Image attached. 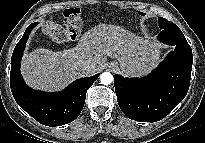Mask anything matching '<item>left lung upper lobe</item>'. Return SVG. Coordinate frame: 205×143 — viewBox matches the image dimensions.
I'll use <instances>...</instances> for the list:
<instances>
[{
    "mask_svg": "<svg viewBox=\"0 0 205 143\" xmlns=\"http://www.w3.org/2000/svg\"><path fill=\"white\" fill-rule=\"evenodd\" d=\"M158 22H159V27L161 29H174L177 28L178 26H176L174 23L166 20L165 18L159 17L158 18Z\"/></svg>",
    "mask_w": 205,
    "mask_h": 143,
    "instance_id": "obj_1",
    "label": "left lung upper lobe"
}]
</instances>
